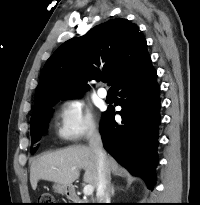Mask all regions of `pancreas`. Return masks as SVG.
<instances>
[{"mask_svg": "<svg viewBox=\"0 0 200 205\" xmlns=\"http://www.w3.org/2000/svg\"><path fill=\"white\" fill-rule=\"evenodd\" d=\"M80 203H86V202H84V201H81Z\"/></svg>", "mask_w": 200, "mask_h": 205, "instance_id": "obj_1", "label": "pancreas"}]
</instances>
